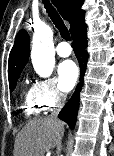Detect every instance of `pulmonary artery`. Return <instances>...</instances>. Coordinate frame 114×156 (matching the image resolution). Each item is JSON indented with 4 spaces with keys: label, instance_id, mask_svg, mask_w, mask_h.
I'll return each mask as SVG.
<instances>
[{
    "label": "pulmonary artery",
    "instance_id": "1",
    "mask_svg": "<svg viewBox=\"0 0 114 156\" xmlns=\"http://www.w3.org/2000/svg\"><path fill=\"white\" fill-rule=\"evenodd\" d=\"M56 52L60 57H68L72 53V48L67 42H60L56 47Z\"/></svg>",
    "mask_w": 114,
    "mask_h": 156
}]
</instances>
